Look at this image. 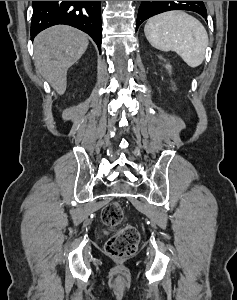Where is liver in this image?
<instances>
[{
	"instance_id": "liver-1",
	"label": "liver",
	"mask_w": 237,
	"mask_h": 300,
	"mask_svg": "<svg viewBox=\"0 0 237 300\" xmlns=\"http://www.w3.org/2000/svg\"><path fill=\"white\" fill-rule=\"evenodd\" d=\"M88 45L85 33L67 25L50 27L35 37V67L57 95H64L67 87V71L82 57Z\"/></svg>"
}]
</instances>
